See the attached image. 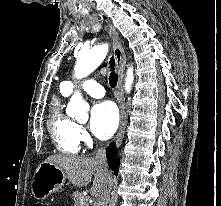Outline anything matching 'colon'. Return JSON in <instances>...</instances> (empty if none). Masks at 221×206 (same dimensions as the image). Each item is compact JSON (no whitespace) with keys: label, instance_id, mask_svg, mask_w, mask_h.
Returning a JSON list of instances; mask_svg holds the SVG:
<instances>
[{"label":"colon","instance_id":"obj_1","mask_svg":"<svg viewBox=\"0 0 221 206\" xmlns=\"http://www.w3.org/2000/svg\"><path fill=\"white\" fill-rule=\"evenodd\" d=\"M32 206H47V205L43 202H35L32 204Z\"/></svg>","mask_w":221,"mask_h":206}]
</instances>
